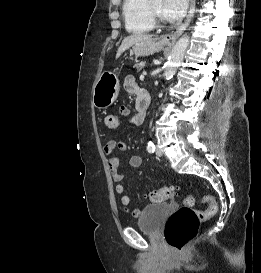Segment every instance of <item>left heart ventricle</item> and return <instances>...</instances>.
<instances>
[{
	"mask_svg": "<svg viewBox=\"0 0 261 273\" xmlns=\"http://www.w3.org/2000/svg\"><path fill=\"white\" fill-rule=\"evenodd\" d=\"M153 7L157 10L159 15L165 20L163 14V0H151Z\"/></svg>",
	"mask_w": 261,
	"mask_h": 273,
	"instance_id": "b2bd125f",
	"label": "left heart ventricle"
}]
</instances>
